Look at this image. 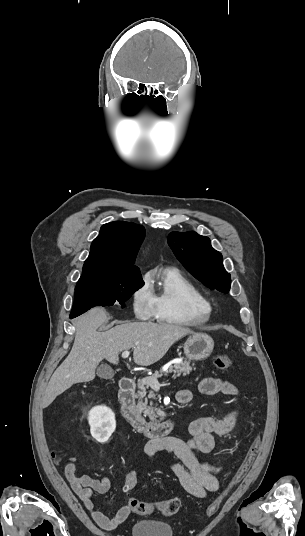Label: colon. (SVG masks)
Masks as SVG:
<instances>
[{
    "label": "colon",
    "mask_w": 305,
    "mask_h": 536,
    "mask_svg": "<svg viewBox=\"0 0 305 536\" xmlns=\"http://www.w3.org/2000/svg\"><path fill=\"white\" fill-rule=\"evenodd\" d=\"M214 364L217 369L225 371L231 367L232 360L228 356L221 355L215 358ZM259 444L260 439L259 437H256L250 445L249 449L247 450V453L242 463L234 473L229 485L226 487V489L220 492L215 497L214 501L208 506L206 511V514L208 516H212L218 511L219 506L229 489H231L235 484L239 483L247 475L254 462ZM125 483L128 488L133 491L134 485L136 483L135 476L133 474H128L126 476ZM129 505L131 509L137 514L148 515L154 512H159L164 516H172L178 512L180 508V501L177 498H170L164 500H156L153 502H144L131 495L129 498Z\"/></svg>",
    "instance_id": "obj_1"
}]
</instances>
